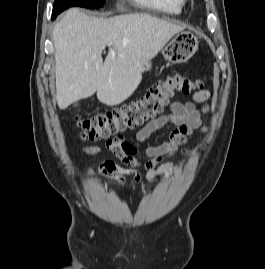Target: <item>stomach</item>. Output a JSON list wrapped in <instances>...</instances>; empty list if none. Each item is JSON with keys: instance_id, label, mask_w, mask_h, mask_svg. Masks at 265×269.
Listing matches in <instances>:
<instances>
[{"instance_id": "0dacf381", "label": "stomach", "mask_w": 265, "mask_h": 269, "mask_svg": "<svg viewBox=\"0 0 265 269\" xmlns=\"http://www.w3.org/2000/svg\"><path fill=\"white\" fill-rule=\"evenodd\" d=\"M198 50V38L190 31L178 32L162 49L163 57L172 64L188 61ZM152 64L143 63L142 72L149 71Z\"/></svg>"}]
</instances>
